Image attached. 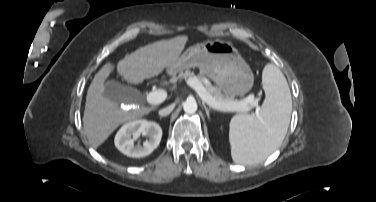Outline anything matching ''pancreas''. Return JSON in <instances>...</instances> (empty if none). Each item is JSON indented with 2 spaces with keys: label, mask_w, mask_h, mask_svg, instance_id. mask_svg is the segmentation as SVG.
<instances>
[{
  "label": "pancreas",
  "mask_w": 376,
  "mask_h": 202,
  "mask_svg": "<svg viewBox=\"0 0 376 202\" xmlns=\"http://www.w3.org/2000/svg\"><path fill=\"white\" fill-rule=\"evenodd\" d=\"M189 77L196 78L200 83H203V81L201 79L193 76V74H191L189 71L181 75V78L186 79V78H189ZM205 89L209 94H211L218 101H223V102L237 101V100L234 99L233 96L223 94L222 91L220 90V88H218V87L206 84ZM256 100H257V103H258V99H256ZM240 101H242V100H240ZM254 106L255 105H253V104L247 105V107L250 108V109Z\"/></svg>",
  "instance_id": "1"
}]
</instances>
